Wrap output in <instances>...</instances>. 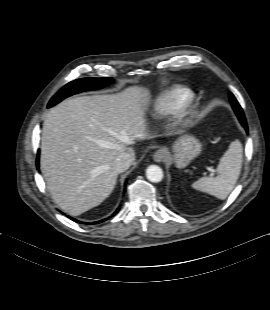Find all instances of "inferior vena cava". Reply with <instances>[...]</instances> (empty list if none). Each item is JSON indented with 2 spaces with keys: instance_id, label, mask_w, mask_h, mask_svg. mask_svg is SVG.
Segmentation results:
<instances>
[{
  "instance_id": "obj_1",
  "label": "inferior vena cava",
  "mask_w": 270,
  "mask_h": 310,
  "mask_svg": "<svg viewBox=\"0 0 270 310\" xmlns=\"http://www.w3.org/2000/svg\"><path fill=\"white\" fill-rule=\"evenodd\" d=\"M133 158L130 153H120L114 161V169L117 173L126 171L132 164Z\"/></svg>"
}]
</instances>
